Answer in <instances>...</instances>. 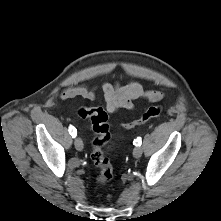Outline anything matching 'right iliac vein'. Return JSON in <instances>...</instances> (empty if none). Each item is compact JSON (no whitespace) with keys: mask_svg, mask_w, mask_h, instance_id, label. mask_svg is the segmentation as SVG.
Masks as SVG:
<instances>
[{"mask_svg":"<svg viewBox=\"0 0 221 221\" xmlns=\"http://www.w3.org/2000/svg\"><path fill=\"white\" fill-rule=\"evenodd\" d=\"M74 145H75V148L78 151H82L83 150L84 145H83V141L80 138H75Z\"/></svg>","mask_w":221,"mask_h":221,"instance_id":"63e3f726","label":"right iliac vein"}]
</instances>
